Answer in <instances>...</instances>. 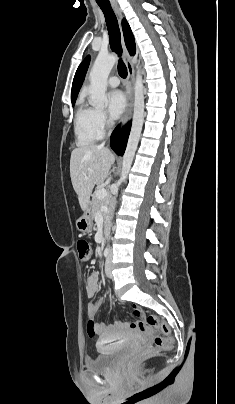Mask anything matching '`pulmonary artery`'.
I'll return each instance as SVG.
<instances>
[{
    "instance_id": "1",
    "label": "pulmonary artery",
    "mask_w": 235,
    "mask_h": 404,
    "mask_svg": "<svg viewBox=\"0 0 235 404\" xmlns=\"http://www.w3.org/2000/svg\"><path fill=\"white\" fill-rule=\"evenodd\" d=\"M108 84L111 87H117L120 84V80L116 76H112L108 79Z\"/></svg>"
}]
</instances>
